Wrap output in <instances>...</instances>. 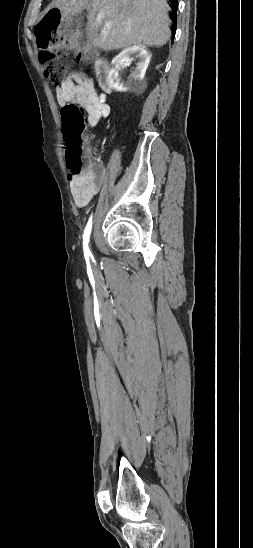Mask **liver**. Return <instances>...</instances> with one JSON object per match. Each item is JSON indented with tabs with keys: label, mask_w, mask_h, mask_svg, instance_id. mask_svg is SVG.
Wrapping results in <instances>:
<instances>
[{
	"label": "liver",
	"mask_w": 253,
	"mask_h": 548,
	"mask_svg": "<svg viewBox=\"0 0 253 548\" xmlns=\"http://www.w3.org/2000/svg\"><path fill=\"white\" fill-rule=\"evenodd\" d=\"M53 8L63 17L86 9L89 41L105 51L133 45L160 47L171 35L165 0H52L48 10ZM98 16L102 18L98 20Z\"/></svg>",
	"instance_id": "1"
}]
</instances>
